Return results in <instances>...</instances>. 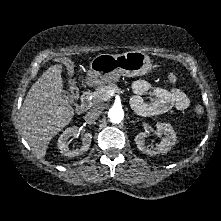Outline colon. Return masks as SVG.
<instances>
[{"label":"colon","mask_w":221,"mask_h":221,"mask_svg":"<svg viewBox=\"0 0 221 221\" xmlns=\"http://www.w3.org/2000/svg\"><path fill=\"white\" fill-rule=\"evenodd\" d=\"M168 80H169L170 82L174 83V82L177 81V76H176L174 73H170V74L168 75ZM71 93H72L73 97H77V95H78V90H77V88H76L75 86H72V87H71ZM203 112H204V109H203V107H202L201 105H196V106L194 107V113H195L196 115H202Z\"/></svg>","instance_id":"colon-1"}]
</instances>
